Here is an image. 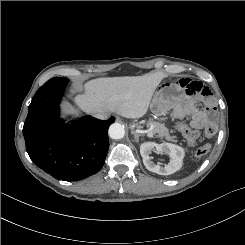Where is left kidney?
Listing matches in <instances>:
<instances>
[{
    "mask_svg": "<svg viewBox=\"0 0 245 245\" xmlns=\"http://www.w3.org/2000/svg\"><path fill=\"white\" fill-rule=\"evenodd\" d=\"M152 151L168 154L171 158L170 162L165 166H161V163L155 164L151 161V157L149 156ZM140 153L145 167L149 171L159 175H170L180 170L185 155L184 149L178 145L171 143L157 144L155 142H145L141 144Z\"/></svg>",
    "mask_w": 245,
    "mask_h": 245,
    "instance_id": "1",
    "label": "left kidney"
}]
</instances>
